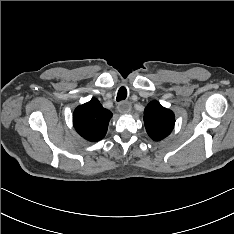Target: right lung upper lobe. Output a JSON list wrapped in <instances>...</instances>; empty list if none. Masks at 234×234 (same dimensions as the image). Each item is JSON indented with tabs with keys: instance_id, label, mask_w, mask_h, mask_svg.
<instances>
[{
	"instance_id": "1",
	"label": "right lung upper lobe",
	"mask_w": 234,
	"mask_h": 234,
	"mask_svg": "<svg viewBox=\"0 0 234 234\" xmlns=\"http://www.w3.org/2000/svg\"><path fill=\"white\" fill-rule=\"evenodd\" d=\"M111 117L112 113L103 108L96 98H92L74 110L73 123L80 136L90 142H96L106 135Z\"/></svg>"
}]
</instances>
